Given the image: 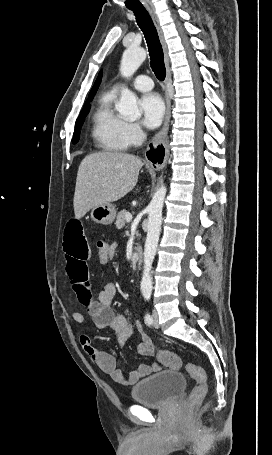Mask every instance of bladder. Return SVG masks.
I'll return each mask as SVG.
<instances>
[{
    "mask_svg": "<svg viewBox=\"0 0 272 455\" xmlns=\"http://www.w3.org/2000/svg\"><path fill=\"white\" fill-rule=\"evenodd\" d=\"M186 379L177 371L163 370L138 382L131 390V398L140 404L164 407L185 388Z\"/></svg>",
    "mask_w": 272,
    "mask_h": 455,
    "instance_id": "1",
    "label": "bladder"
}]
</instances>
